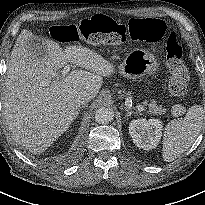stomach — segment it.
<instances>
[{
	"instance_id": "0dacf381",
	"label": "stomach",
	"mask_w": 205,
	"mask_h": 205,
	"mask_svg": "<svg viewBox=\"0 0 205 205\" xmlns=\"http://www.w3.org/2000/svg\"><path fill=\"white\" fill-rule=\"evenodd\" d=\"M159 65L155 56L150 52L143 49H133L119 66V72L124 77L136 79L157 72Z\"/></svg>"
}]
</instances>
